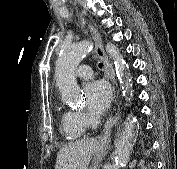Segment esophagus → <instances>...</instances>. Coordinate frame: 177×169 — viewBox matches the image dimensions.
Here are the masks:
<instances>
[{"mask_svg": "<svg viewBox=\"0 0 177 169\" xmlns=\"http://www.w3.org/2000/svg\"><path fill=\"white\" fill-rule=\"evenodd\" d=\"M89 30H90V33H91L94 41H95L96 53L103 62L105 76H106V78L110 79V81L112 82V84H110L109 90H110V92H113V95H118V92H117L118 87H117V84H115V78L112 74V67H111L108 57L104 51L100 34L91 24H89ZM114 100H117V97H114ZM116 121H117V117H114V116H111L107 120V122L104 126V129H103L102 135H101L102 140L108 139L110 137L112 126L116 123Z\"/></svg>", "mask_w": 177, "mask_h": 169, "instance_id": "1", "label": "esophagus"}]
</instances>
